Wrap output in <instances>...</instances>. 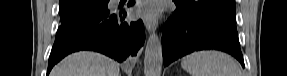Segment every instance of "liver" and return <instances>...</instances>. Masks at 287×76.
Masks as SVG:
<instances>
[{"label":"liver","instance_id":"1","mask_svg":"<svg viewBox=\"0 0 287 76\" xmlns=\"http://www.w3.org/2000/svg\"><path fill=\"white\" fill-rule=\"evenodd\" d=\"M120 67L111 58L95 52H77L64 58L50 76H119Z\"/></svg>","mask_w":287,"mask_h":76}]
</instances>
